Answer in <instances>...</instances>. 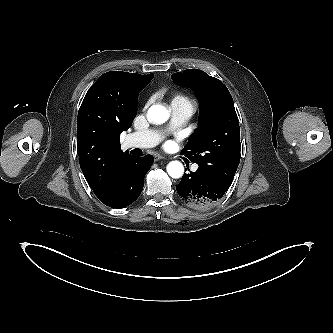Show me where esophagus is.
Masks as SVG:
<instances>
[{
	"mask_svg": "<svg viewBox=\"0 0 333 333\" xmlns=\"http://www.w3.org/2000/svg\"><path fill=\"white\" fill-rule=\"evenodd\" d=\"M162 159H165L164 156L160 155V154H155L154 155V161H159V160H162Z\"/></svg>",
	"mask_w": 333,
	"mask_h": 333,
	"instance_id": "esophagus-1",
	"label": "esophagus"
}]
</instances>
